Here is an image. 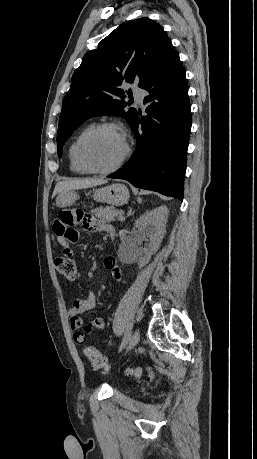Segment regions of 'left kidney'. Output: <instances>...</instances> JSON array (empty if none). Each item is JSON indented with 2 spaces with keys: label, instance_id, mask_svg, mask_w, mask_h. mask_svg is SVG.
Wrapping results in <instances>:
<instances>
[{
  "label": "left kidney",
  "instance_id": "5707ae66",
  "mask_svg": "<svg viewBox=\"0 0 257 459\" xmlns=\"http://www.w3.org/2000/svg\"><path fill=\"white\" fill-rule=\"evenodd\" d=\"M168 212L169 211L166 206H160L146 211L135 221V227L138 229L136 233V240L141 241L145 238L149 239L147 247L136 248L138 255H144L138 261L140 266L147 264L150 257L160 247L161 241L166 232Z\"/></svg>",
  "mask_w": 257,
  "mask_h": 459
}]
</instances>
